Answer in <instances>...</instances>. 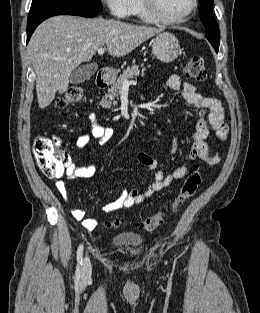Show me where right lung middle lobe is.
<instances>
[{"instance_id":"1","label":"right lung middle lobe","mask_w":260,"mask_h":313,"mask_svg":"<svg viewBox=\"0 0 260 313\" xmlns=\"http://www.w3.org/2000/svg\"><path fill=\"white\" fill-rule=\"evenodd\" d=\"M40 6L76 7L99 12L103 9L100 0H32L31 8Z\"/></svg>"}]
</instances>
